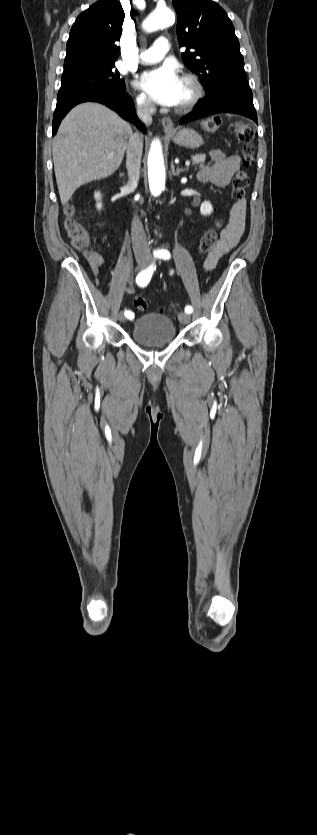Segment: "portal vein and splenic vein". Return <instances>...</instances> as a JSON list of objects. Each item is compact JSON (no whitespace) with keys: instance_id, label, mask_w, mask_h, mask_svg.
Returning a JSON list of instances; mask_svg holds the SVG:
<instances>
[{"instance_id":"portal-vein-and-splenic-vein-1","label":"portal vein and splenic vein","mask_w":317,"mask_h":835,"mask_svg":"<svg viewBox=\"0 0 317 835\" xmlns=\"http://www.w3.org/2000/svg\"><path fill=\"white\" fill-rule=\"evenodd\" d=\"M185 165H186V166H189V165H190V161H189V160H187V161L185 162Z\"/></svg>"}]
</instances>
